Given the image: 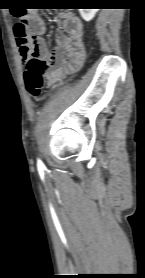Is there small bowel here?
I'll list each match as a JSON object with an SVG mask.
<instances>
[{
  "mask_svg": "<svg viewBox=\"0 0 145 278\" xmlns=\"http://www.w3.org/2000/svg\"><path fill=\"white\" fill-rule=\"evenodd\" d=\"M27 28L31 34L29 51H20L26 63L28 57L39 56L49 65L48 84H55L61 77L65 63H72L74 68H80L84 62L85 53L82 44L83 24L79 18L69 14L60 16V25L64 30H58L55 35V47L50 50L42 35L47 26L43 18L30 12L25 17ZM26 67V64H24Z\"/></svg>",
  "mask_w": 145,
  "mask_h": 278,
  "instance_id": "c3829d8e",
  "label": "small bowel"
}]
</instances>
